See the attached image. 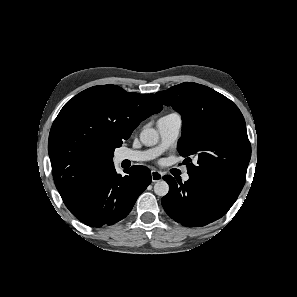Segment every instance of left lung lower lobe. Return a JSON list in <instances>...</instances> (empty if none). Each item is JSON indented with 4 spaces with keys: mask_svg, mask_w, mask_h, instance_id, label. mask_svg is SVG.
I'll return each instance as SVG.
<instances>
[{
    "mask_svg": "<svg viewBox=\"0 0 297 297\" xmlns=\"http://www.w3.org/2000/svg\"><path fill=\"white\" fill-rule=\"evenodd\" d=\"M163 179L169 184V192L161 200L166 213L184 226H205L224 216L233 201L212 188L189 179L185 183L172 176Z\"/></svg>",
    "mask_w": 297,
    "mask_h": 297,
    "instance_id": "0a47b994",
    "label": "left lung lower lobe"
}]
</instances>
